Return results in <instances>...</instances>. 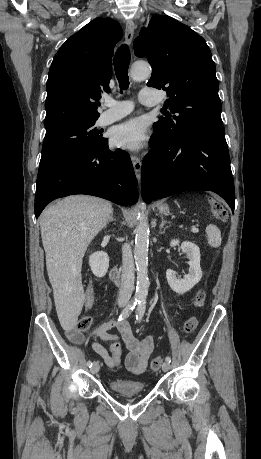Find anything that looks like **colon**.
<instances>
[{"label": "colon", "mask_w": 261, "mask_h": 459, "mask_svg": "<svg viewBox=\"0 0 261 459\" xmlns=\"http://www.w3.org/2000/svg\"><path fill=\"white\" fill-rule=\"evenodd\" d=\"M210 210L212 214L215 216L220 221H225L227 219V211L223 207L222 204H220L216 200H210ZM206 299V294L203 290H200L197 292L194 300V305L196 307H202L205 303ZM92 319L88 315H82L79 317V319L76 322L75 325V330L78 332H83L89 329L91 326ZM198 326V319L196 317H189L186 319V321L183 324L182 331L184 334L188 335L191 334ZM110 350L112 352V355L115 358L121 357V347L118 342H114L110 346ZM119 364L118 360L115 362V366ZM162 364V359L160 357H156L152 359L150 363V368L153 371H158L161 367Z\"/></svg>", "instance_id": "5ec220e1"}]
</instances>
